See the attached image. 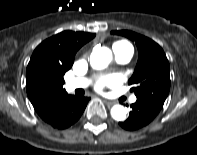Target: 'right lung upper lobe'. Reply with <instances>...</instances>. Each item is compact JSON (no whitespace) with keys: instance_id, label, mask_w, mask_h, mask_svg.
Returning <instances> with one entry per match:
<instances>
[{"instance_id":"1","label":"right lung upper lobe","mask_w":197,"mask_h":155,"mask_svg":"<svg viewBox=\"0 0 197 155\" xmlns=\"http://www.w3.org/2000/svg\"><path fill=\"white\" fill-rule=\"evenodd\" d=\"M94 37L86 32L63 31L34 50L26 70V91L45 122L68 97L63 76L72 67L76 52Z\"/></svg>"}]
</instances>
